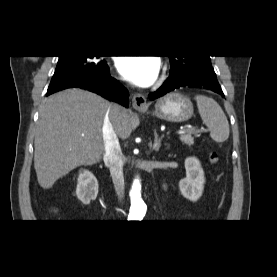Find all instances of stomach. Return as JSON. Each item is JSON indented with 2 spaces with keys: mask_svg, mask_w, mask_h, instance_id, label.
I'll list each match as a JSON object with an SVG mask.
<instances>
[{
  "mask_svg": "<svg viewBox=\"0 0 277 277\" xmlns=\"http://www.w3.org/2000/svg\"><path fill=\"white\" fill-rule=\"evenodd\" d=\"M153 115L168 122H185L193 115V104L180 93H169L157 100Z\"/></svg>",
  "mask_w": 277,
  "mask_h": 277,
  "instance_id": "1",
  "label": "stomach"
}]
</instances>
